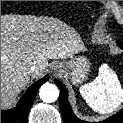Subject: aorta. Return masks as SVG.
I'll use <instances>...</instances> for the list:
<instances>
[{"label": "aorta", "instance_id": "aorta-1", "mask_svg": "<svg viewBox=\"0 0 123 123\" xmlns=\"http://www.w3.org/2000/svg\"><path fill=\"white\" fill-rule=\"evenodd\" d=\"M39 96L44 102L52 103L57 100L59 91L54 84L45 83L39 90Z\"/></svg>", "mask_w": 123, "mask_h": 123}]
</instances>
